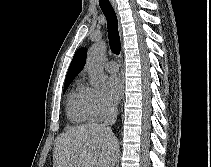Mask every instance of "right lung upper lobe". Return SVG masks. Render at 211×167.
Returning a JSON list of instances; mask_svg holds the SVG:
<instances>
[{"instance_id":"obj_1","label":"right lung upper lobe","mask_w":211,"mask_h":167,"mask_svg":"<svg viewBox=\"0 0 211 167\" xmlns=\"http://www.w3.org/2000/svg\"><path fill=\"white\" fill-rule=\"evenodd\" d=\"M85 61H86V49L81 48L75 53L72 59V62L66 75L65 82L73 80V78L83 69Z\"/></svg>"}]
</instances>
